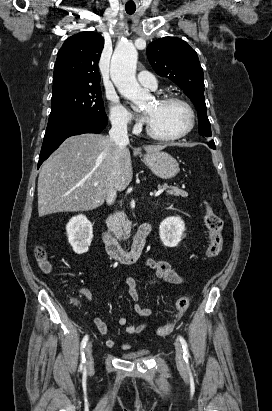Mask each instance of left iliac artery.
Instances as JSON below:
<instances>
[{"instance_id":"1","label":"left iliac artery","mask_w":272,"mask_h":411,"mask_svg":"<svg viewBox=\"0 0 272 411\" xmlns=\"http://www.w3.org/2000/svg\"><path fill=\"white\" fill-rule=\"evenodd\" d=\"M178 338L183 348V358L186 362H188L190 354H189L187 342L182 336H179Z\"/></svg>"}]
</instances>
